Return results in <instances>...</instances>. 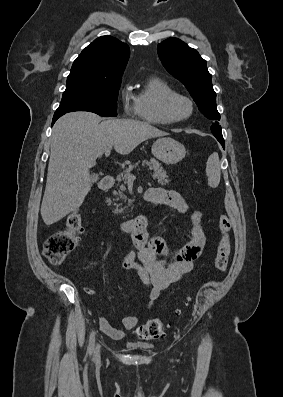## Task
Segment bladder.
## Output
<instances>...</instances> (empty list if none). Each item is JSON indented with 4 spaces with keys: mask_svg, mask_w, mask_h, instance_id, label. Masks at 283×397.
<instances>
[{
    "mask_svg": "<svg viewBox=\"0 0 283 397\" xmlns=\"http://www.w3.org/2000/svg\"><path fill=\"white\" fill-rule=\"evenodd\" d=\"M134 347H136V348H147V346L142 345V344H135Z\"/></svg>",
    "mask_w": 283,
    "mask_h": 397,
    "instance_id": "31cf9c89",
    "label": "bladder"
}]
</instances>
